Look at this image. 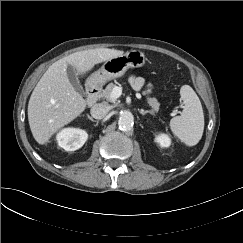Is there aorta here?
<instances>
[{
    "label": "aorta",
    "instance_id": "762f6f07",
    "mask_svg": "<svg viewBox=\"0 0 243 243\" xmlns=\"http://www.w3.org/2000/svg\"><path fill=\"white\" fill-rule=\"evenodd\" d=\"M134 123V117L129 111H121L118 117V126L121 130H129Z\"/></svg>",
    "mask_w": 243,
    "mask_h": 243
}]
</instances>
